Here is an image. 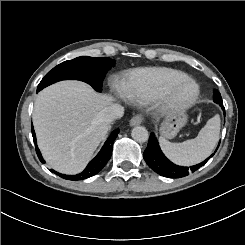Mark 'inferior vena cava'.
<instances>
[{"label":"inferior vena cava","mask_w":245,"mask_h":245,"mask_svg":"<svg viewBox=\"0 0 245 245\" xmlns=\"http://www.w3.org/2000/svg\"><path fill=\"white\" fill-rule=\"evenodd\" d=\"M124 114V108L119 104H111L105 107L99 114L98 119L101 122L110 123L119 119Z\"/></svg>","instance_id":"1"}]
</instances>
